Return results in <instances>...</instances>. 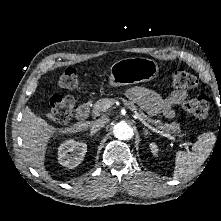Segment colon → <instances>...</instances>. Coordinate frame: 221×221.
<instances>
[{
    "label": "colon",
    "mask_w": 221,
    "mask_h": 221,
    "mask_svg": "<svg viewBox=\"0 0 221 221\" xmlns=\"http://www.w3.org/2000/svg\"><path fill=\"white\" fill-rule=\"evenodd\" d=\"M172 85L178 90L193 88L197 80L194 75L183 69H177L171 75ZM58 86L63 89H79L81 76L74 68H67L58 79ZM74 99L69 95H53L50 99L48 118L56 123L65 124L70 121L74 111ZM183 109L198 119H204L209 112V100L206 96H198L185 101Z\"/></svg>",
    "instance_id": "colon-1"
}]
</instances>
